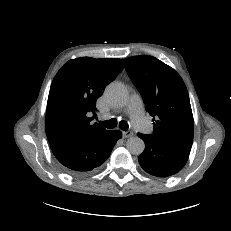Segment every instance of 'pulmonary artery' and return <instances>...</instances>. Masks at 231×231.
Segmentation results:
<instances>
[{
  "label": "pulmonary artery",
  "instance_id": "pulmonary-artery-1",
  "mask_svg": "<svg viewBox=\"0 0 231 231\" xmlns=\"http://www.w3.org/2000/svg\"><path fill=\"white\" fill-rule=\"evenodd\" d=\"M125 111L136 128L145 133L152 132L153 128L145 118L142 99L138 94L130 97Z\"/></svg>",
  "mask_w": 231,
  "mask_h": 231
}]
</instances>
